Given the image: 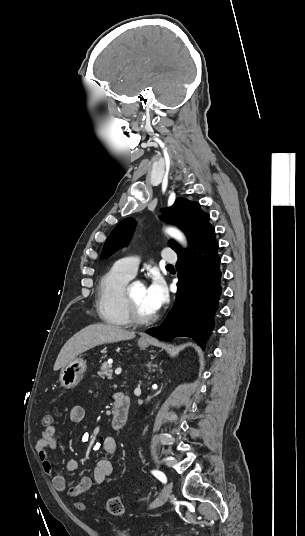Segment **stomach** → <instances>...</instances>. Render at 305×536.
Instances as JSON below:
<instances>
[{
    "label": "stomach",
    "instance_id": "0dacf381",
    "mask_svg": "<svg viewBox=\"0 0 305 536\" xmlns=\"http://www.w3.org/2000/svg\"><path fill=\"white\" fill-rule=\"evenodd\" d=\"M149 344L150 340H141V338L138 340V346L139 348H142V350L148 348ZM86 368V362L85 360H82V358H75V360L69 362L67 366H63V368H61L59 378L61 386L66 388V390L75 388V386L79 384L80 380H82V376L84 372H86Z\"/></svg>",
    "mask_w": 305,
    "mask_h": 536
}]
</instances>
